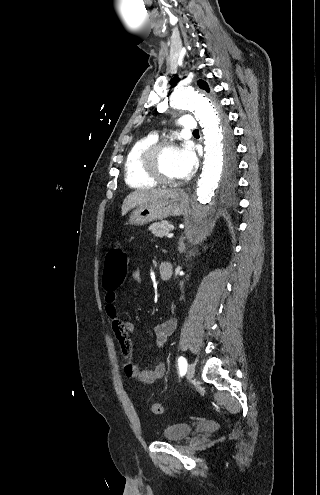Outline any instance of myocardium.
I'll return each mask as SVG.
<instances>
[{
  "label": "myocardium",
  "mask_w": 320,
  "mask_h": 495,
  "mask_svg": "<svg viewBox=\"0 0 320 495\" xmlns=\"http://www.w3.org/2000/svg\"><path fill=\"white\" fill-rule=\"evenodd\" d=\"M169 147L179 148L177 140L164 138L149 145L141 155V167L143 172L156 183L175 185L178 183V180L164 176L159 168V157Z\"/></svg>",
  "instance_id": "myocardium-1"
}]
</instances>
